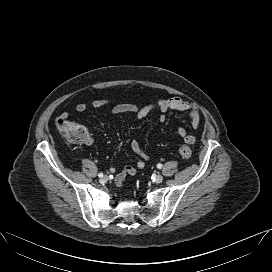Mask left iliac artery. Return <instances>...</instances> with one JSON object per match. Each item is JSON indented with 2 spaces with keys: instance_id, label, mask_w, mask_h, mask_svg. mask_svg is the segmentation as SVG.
I'll return each mask as SVG.
<instances>
[{
  "instance_id": "1",
  "label": "left iliac artery",
  "mask_w": 272,
  "mask_h": 272,
  "mask_svg": "<svg viewBox=\"0 0 272 272\" xmlns=\"http://www.w3.org/2000/svg\"><path fill=\"white\" fill-rule=\"evenodd\" d=\"M157 168L161 169L162 168V164H157Z\"/></svg>"
}]
</instances>
